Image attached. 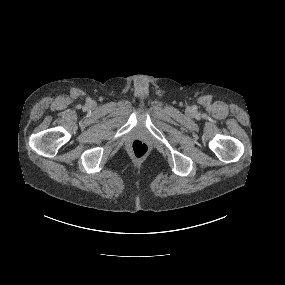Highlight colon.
Listing matches in <instances>:
<instances>
[{"mask_svg": "<svg viewBox=\"0 0 285 285\" xmlns=\"http://www.w3.org/2000/svg\"><path fill=\"white\" fill-rule=\"evenodd\" d=\"M131 152L135 157H144L148 153V146L141 140H135L131 144Z\"/></svg>", "mask_w": 285, "mask_h": 285, "instance_id": "1", "label": "colon"}]
</instances>
